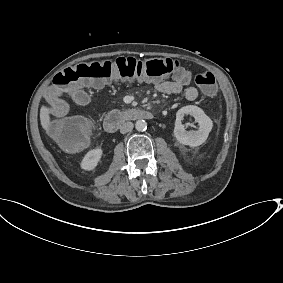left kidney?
I'll list each match as a JSON object with an SVG mask.
<instances>
[{
  "instance_id": "1",
  "label": "left kidney",
  "mask_w": 283,
  "mask_h": 283,
  "mask_svg": "<svg viewBox=\"0 0 283 283\" xmlns=\"http://www.w3.org/2000/svg\"><path fill=\"white\" fill-rule=\"evenodd\" d=\"M185 115H191L195 118V122L199 124V129L197 131L191 130L186 131L182 120ZM213 122L204 113V111L194 105L184 106L179 109L176 113V121L174 127V136L176 139L184 144L191 147H196L204 143L212 130Z\"/></svg>"
}]
</instances>
